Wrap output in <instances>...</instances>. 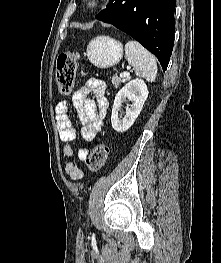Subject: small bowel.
Listing matches in <instances>:
<instances>
[{"mask_svg": "<svg viewBox=\"0 0 221 263\" xmlns=\"http://www.w3.org/2000/svg\"><path fill=\"white\" fill-rule=\"evenodd\" d=\"M105 83L98 79L88 80L72 96V104L81 121V136L85 140H92L100 131L103 119L108 108V101L105 97ZM93 96V98L90 97ZM68 107L65 101L57 105V128L60 139L64 144V154L73 158V144L76 139V129L67 115ZM88 156L87 148H80L77 152L79 160H85ZM65 174L72 180H80L83 172L78 163L71 159L64 168Z\"/></svg>", "mask_w": 221, "mask_h": 263, "instance_id": "c3829d8e", "label": "small bowel"}]
</instances>
